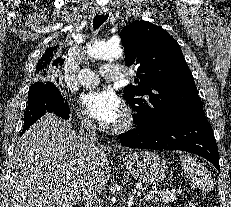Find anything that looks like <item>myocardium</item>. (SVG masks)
Returning a JSON list of instances; mask_svg holds the SVG:
<instances>
[{"label": "myocardium", "instance_id": "myocardium-1", "mask_svg": "<svg viewBox=\"0 0 231 207\" xmlns=\"http://www.w3.org/2000/svg\"><path fill=\"white\" fill-rule=\"evenodd\" d=\"M134 124V117L130 112H126L121 120L112 127L113 132L122 133L130 130Z\"/></svg>", "mask_w": 231, "mask_h": 207}]
</instances>
